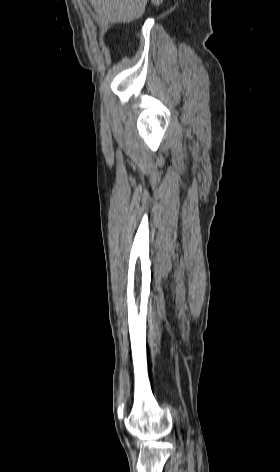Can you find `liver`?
<instances>
[{
  "instance_id": "1",
  "label": "liver",
  "mask_w": 280,
  "mask_h": 472,
  "mask_svg": "<svg viewBox=\"0 0 280 472\" xmlns=\"http://www.w3.org/2000/svg\"><path fill=\"white\" fill-rule=\"evenodd\" d=\"M98 15V21L104 23L131 22L141 17L147 0H89Z\"/></svg>"
}]
</instances>
